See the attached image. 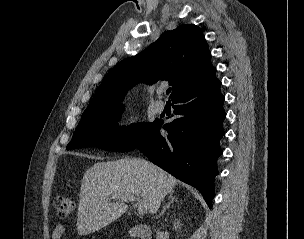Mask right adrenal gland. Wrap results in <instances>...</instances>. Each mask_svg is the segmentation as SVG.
<instances>
[{
    "mask_svg": "<svg viewBox=\"0 0 304 239\" xmlns=\"http://www.w3.org/2000/svg\"><path fill=\"white\" fill-rule=\"evenodd\" d=\"M173 193H174L173 191L170 192L168 197V203L166 204V206H164L163 210L161 211L158 217L164 214V212L169 208L170 204H172L173 202H178V199L175 196H173Z\"/></svg>",
    "mask_w": 304,
    "mask_h": 239,
    "instance_id": "2a0ac1e0",
    "label": "right adrenal gland"
}]
</instances>
